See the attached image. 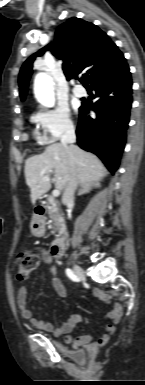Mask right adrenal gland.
<instances>
[{"instance_id":"right-adrenal-gland-1","label":"right adrenal gland","mask_w":145,"mask_h":385,"mask_svg":"<svg viewBox=\"0 0 145 385\" xmlns=\"http://www.w3.org/2000/svg\"><path fill=\"white\" fill-rule=\"evenodd\" d=\"M92 185L95 187L99 186L98 183H93ZM89 191H90V186L89 185H83L81 187V189L79 190L77 195H82V194L88 193Z\"/></svg>"}]
</instances>
